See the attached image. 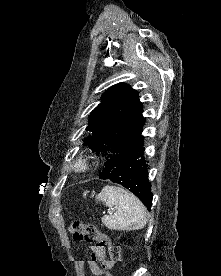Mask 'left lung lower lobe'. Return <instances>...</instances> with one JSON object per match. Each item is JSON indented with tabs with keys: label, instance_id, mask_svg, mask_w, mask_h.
<instances>
[{
	"label": "left lung lower lobe",
	"instance_id": "left-lung-lower-lobe-1",
	"mask_svg": "<svg viewBox=\"0 0 221 276\" xmlns=\"http://www.w3.org/2000/svg\"><path fill=\"white\" fill-rule=\"evenodd\" d=\"M143 141L141 135L134 145L111 156L99 177L129 189L150 211L153 195L148 180V164L144 159Z\"/></svg>",
	"mask_w": 221,
	"mask_h": 276
}]
</instances>
